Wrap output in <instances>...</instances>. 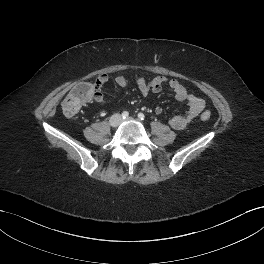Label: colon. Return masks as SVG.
Here are the masks:
<instances>
[{
	"instance_id": "1",
	"label": "colon",
	"mask_w": 264,
	"mask_h": 264,
	"mask_svg": "<svg viewBox=\"0 0 264 264\" xmlns=\"http://www.w3.org/2000/svg\"><path fill=\"white\" fill-rule=\"evenodd\" d=\"M96 93V87L93 83L83 82L75 86L62 102V110L66 116L76 115L81 107L88 101L93 99ZM211 114L209 111H204L201 114V119L209 120Z\"/></svg>"
}]
</instances>
